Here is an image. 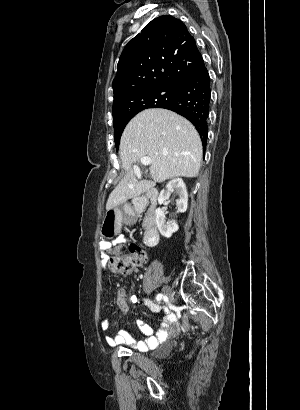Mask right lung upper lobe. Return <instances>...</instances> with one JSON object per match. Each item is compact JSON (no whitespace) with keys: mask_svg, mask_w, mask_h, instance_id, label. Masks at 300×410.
Returning a JSON list of instances; mask_svg holds the SVG:
<instances>
[{"mask_svg":"<svg viewBox=\"0 0 300 410\" xmlns=\"http://www.w3.org/2000/svg\"><path fill=\"white\" fill-rule=\"evenodd\" d=\"M202 56L185 24L170 15L147 24L124 48L113 81V118L131 114L143 91L181 86Z\"/></svg>","mask_w":300,"mask_h":410,"instance_id":"cb5924a9","label":"right lung upper lobe"}]
</instances>
